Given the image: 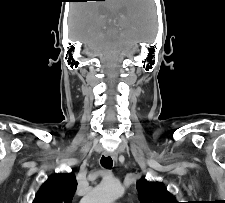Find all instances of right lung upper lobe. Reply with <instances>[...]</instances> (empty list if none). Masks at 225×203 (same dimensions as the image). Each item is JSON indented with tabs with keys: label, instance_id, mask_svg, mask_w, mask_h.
Segmentation results:
<instances>
[{
	"label": "right lung upper lobe",
	"instance_id": "right-lung-upper-lobe-1",
	"mask_svg": "<svg viewBox=\"0 0 225 203\" xmlns=\"http://www.w3.org/2000/svg\"><path fill=\"white\" fill-rule=\"evenodd\" d=\"M76 187L72 173L55 174L41 186L33 203H71Z\"/></svg>",
	"mask_w": 225,
	"mask_h": 203
}]
</instances>
